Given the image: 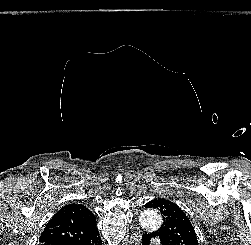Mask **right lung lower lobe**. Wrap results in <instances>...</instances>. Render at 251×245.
<instances>
[{"label":"right lung lower lobe","instance_id":"right-lung-lower-lobe-1","mask_svg":"<svg viewBox=\"0 0 251 245\" xmlns=\"http://www.w3.org/2000/svg\"><path fill=\"white\" fill-rule=\"evenodd\" d=\"M65 245H101V239L99 234L92 238V239H88V240H83L80 242H71V243H66Z\"/></svg>","mask_w":251,"mask_h":245}]
</instances>
